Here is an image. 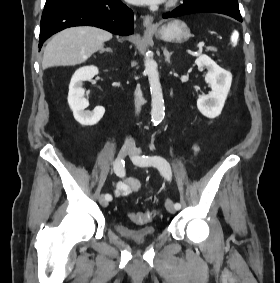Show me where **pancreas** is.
Wrapping results in <instances>:
<instances>
[{
	"instance_id": "obj_1",
	"label": "pancreas",
	"mask_w": 280,
	"mask_h": 283,
	"mask_svg": "<svg viewBox=\"0 0 280 283\" xmlns=\"http://www.w3.org/2000/svg\"><path fill=\"white\" fill-rule=\"evenodd\" d=\"M207 51H212V52H216L217 49L215 47H207L206 48Z\"/></svg>"
}]
</instances>
